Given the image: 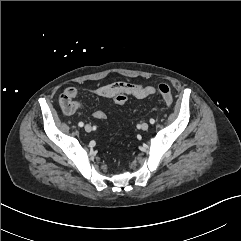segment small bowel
<instances>
[{
	"instance_id": "c3829d8e",
	"label": "small bowel",
	"mask_w": 241,
	"mask_h": 241,
	"mask_svg": "<svg viewBox=\"0 0 241 241\" xmlns=\"http://www.w3.org/2000/svg\"><path fill=\"white\" fill-rule=\"evenodd\" d=\"M95 95L103 98H114L117 93H125L136 99H144L155 93V88L150 85H141L131 82H115L98 86L91 90ZM78 90L76 87L69 86L61 93L59 97V105L66 116L72 115L82 106L76 100ZM96 119H102L105 113L102 110H96L93 113Z\"/></svg>"
}]
</instances>
